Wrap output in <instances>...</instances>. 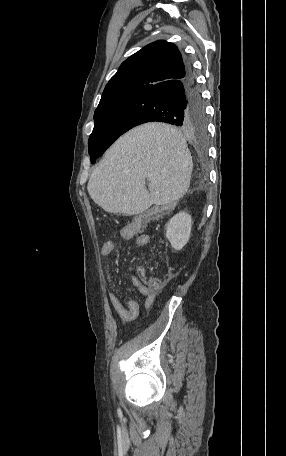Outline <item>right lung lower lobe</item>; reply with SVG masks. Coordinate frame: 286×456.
<instances>
[{"mask_svg": "<svg viewBox=\"0 0 286 456\" xmlns=\"http://www.w3.org/2000/svg\"><path fill=\"white\" fill-rule=\"evenodd\" d=\"M132 96L139 106V124L159 121L192 132L205 120L201 93L189 63H186L184 76L157 84Z\"/></svg>", "mask_w": 286, "mask_h": 456, "instance_id": "right-lung-lower-lobe-1", "label": "right lung lower lobe"}]
</instances>
